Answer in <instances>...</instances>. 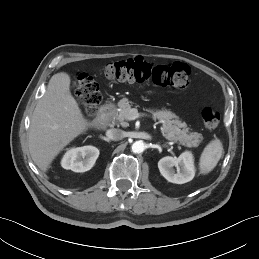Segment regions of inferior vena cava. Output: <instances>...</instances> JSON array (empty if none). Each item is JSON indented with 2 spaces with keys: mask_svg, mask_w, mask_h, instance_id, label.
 Wrapping results in <instances>:
<instances>
[{
  "mask_svg": "<svg viewBox=\"0 0 259 259\" xmlns=\"http://www.w3.org/2000/svg\"><path fill=\"white\" fill-rule=\"evenodd\" d=\"M106 136L113 141H118L124 138V131L121 129L112 128L106 131Z\"/></svg>",
  "mask_w": 259,
  "mask_h": 259,
  "instance_id": "inferior-vena-cava-1",
  "label": "inferior vena cava"
}]
</instances>
